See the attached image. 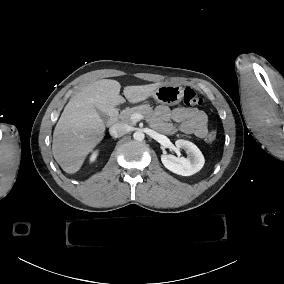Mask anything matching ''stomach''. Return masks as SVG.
Returning a JSON list of instances; mask_svg holds the SVG:
<instances>
[{"label":"stomach","instance_id":"stomach-1","mask_svg":"<svg viewBox=\"0 0 284 284\" xmlns=\"http://www.w3.org/2000/svg\"><path fill=\"white\" fill-rule=\"evenodd\" d=\"M153 97L162 105H177L184 98V88L180 85L164 84L157 89Z\"/></svg>","mask_w":284,"mask_h":284}]
</instances>
